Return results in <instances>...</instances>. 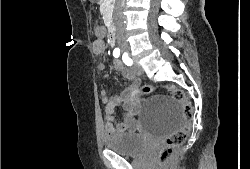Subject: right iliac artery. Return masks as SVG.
Instances as JSON below:
<instances>
[{
  "instance_id": "right-iliac-artery-1",
  "label": "right iliac artery",
  "mask_w": 250,
  "mask_h": 169,
  "mask_svg": "<svg viewBox=\"0 0 250 169\" xmlns=\"http://www.w3.org/2000/svg\"><path fill=\"white\" fill-rule=\"evenodd\" d=\"M119 55H120V50H119V49H115V50L113 51V56L116 57V58H118Z\"/></svg>"
}]
</instances>
